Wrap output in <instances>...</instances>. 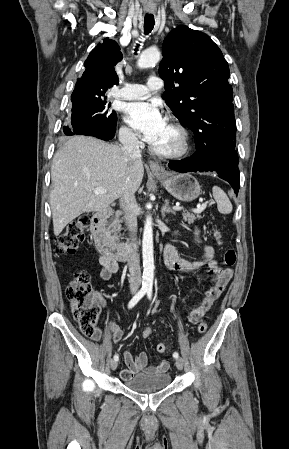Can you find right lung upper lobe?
<instances>
[{
	"instance_id": "1",
	"label": "right lung upper lobe",
	"mask_w": 289,
	"mask_h": 449,
	"mask_svg": "<svg viewBox=\"0 0 289 449\" xmlns=\"http://www.w3.org/2000/svg\"><path fill=\"white\" fill-rule=\"evenodd\" d=\"M123 58L119 45L108 38L98 44L84 62L85 71L74 93L108 90L118 84L114 66Z\"/></svg>"
}]
</instances>
